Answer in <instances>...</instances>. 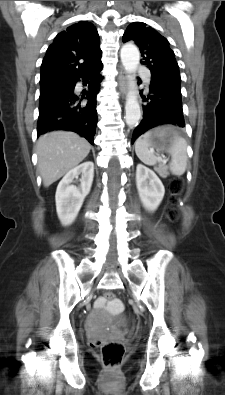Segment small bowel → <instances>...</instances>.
I'll return each mask as SVG.
<instances>
[{
  "instance_id": "small-bowel-1",
  "label": "small bowel",
  "mask_w": 225,
  "mask_h": 395,
  "mask_svg": "<svg viewBox=\"0 0 225 395\" xmlns=\"http://www.w3.org/2000/svg\"><path fill=\"white\" fill-rule=\"evenodd\" d=\"M95 308L99 312L107 311L108 315H126L127 313L126 304H124L121 296H114L109 303L106 297H99L95 302Z\"/></svg>"
}]
</instances>
